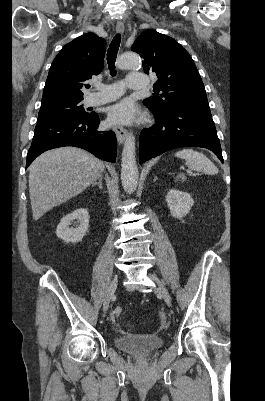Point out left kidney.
<instances>
[{
	"label": "left kidney",
	"mask_w": 265,
	"mask_h": 401,
	"mask_svg": "<svg viewBox=\"0 0 265 401\" xmlns=\"http://www.w3.org/2000/svg\"><path fill=\"white\" fill-rule=\"evenodd\" d=\"M166 203L171 211L172 217L182 219L188 215L191 207L194 205L193 198L189 192L170 188L166 194Z\"/></svg>",
	"instance_id": "obj_1"
}]
</instances>
